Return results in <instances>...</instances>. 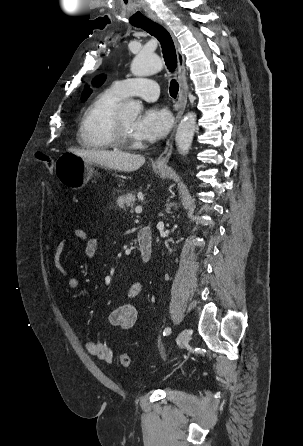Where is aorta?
Returning <instances> with one entry per match:
<instances>
[{"instance_id": "1", "label": "aorta", "mask_w": 303, "mask_h": 446, "mask_svg": "<svg viewBox=\"0 0 303 446\" xmlns=\"http://www.w3.org/2000/svg\"><path fill=\"white\" fill-rule=\"evenodd\" d=\"M163 67L159 57L153 54L141 51L133 59L131 64V73L134 76H148L159 72ZM142 106L139 102L130 101L122 108V114L126 117L135 118L140 113ZM196 114L187 113L180 121L175 141L178 150L182 154H186L191 147L193 136L195 133Z\"/></svg>"}]
</instances>
